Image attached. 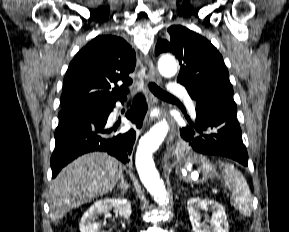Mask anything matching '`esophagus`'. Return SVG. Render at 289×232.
I'll return each mask as SVG.
<instances>
[{"mask_svg":"<svg viewBox=\"0 0 289 232\" xmlns=\"http://www.w3.org/2000/svg\"><path fill=\"white\" fill-rule=\"evenodd\" d=\"M146 64L148 66V74H149L150 79L153 82L160 83V81H161L160 76H159L155 66L153 65L152 60L147 59ZM172 130H173V127H172ZM173 138H174V134L170 133L169 137L167 139V144L171 143L173 141Z\"/></svg>","mask_w":289,"mask_h":232,"instance_id":"34e87169","label":"esophagus"}]
</instances>
